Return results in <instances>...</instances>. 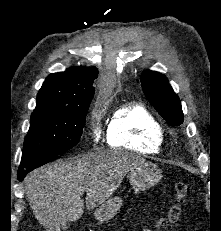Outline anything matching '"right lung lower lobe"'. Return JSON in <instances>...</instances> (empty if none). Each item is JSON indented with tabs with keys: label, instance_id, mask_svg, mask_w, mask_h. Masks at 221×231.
Segmentation results:
<instances>
[{
	"label": "right lung lower lobe",
	"instance_id": "98d812e1",
	"mask_svg": "<svg viewBox=\"0 0 221 231\" xmlns=\"http://www.w3.org/2000/svg\"><path fill=\"white\" fill-rule=\"evenodd\" d=\"M58 156H54V157H48V158H44V159H41L39 161H36L34 163H32L31 165L29 166H26V167H19L18 169V180L19 181H22L24 179V177L26 176L27 173H29L30 171L34 170L35 168H38L46 163H49L55 159H57Z\"/></svg>",
	"mask_w": 221,
	"mask_h": 231
}]
</instances>
